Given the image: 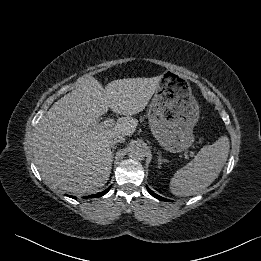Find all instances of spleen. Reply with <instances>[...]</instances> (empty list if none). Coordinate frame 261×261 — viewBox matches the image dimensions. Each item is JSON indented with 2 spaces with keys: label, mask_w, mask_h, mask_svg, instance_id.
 <instances>
[{
  "label": "spleen",
  "mask_w": 261,
  "mask_h": 261,
  "mask_svg": "<svg viewBox=\"0 0 261 261\" xmlns=\"http://www.w3.org/2000/svg\"><path fill=\"white\" fill-rule=\"evenodd\" d=\"M229 148L227 136L204 146L192 161L174 173L169 184L172 194L190 196L208 187L224 167Z\"/></svg>",
  "instance_id": "3e777b00"
}]
</instances>
